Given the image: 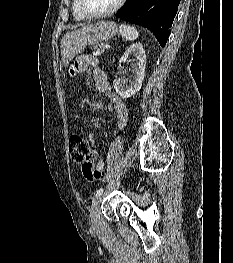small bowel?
Returning a JSON list of instances; mask_svg holds the SVG:
<instances>
[{
  "mask_svg": "<svg viewBox=\"0 0 233 263\" xmlns=\"http://www.w3.org/2000/svg\"><path fill=\"white\" fill-rule=\"evenodd\" d=\"M93 71V77L96 82L97 90L105 96L108 109L117 118V126L120 130L126 127L128 121V110L124 101L113 91L108 78L103 70L98 66V60L89 55L79 56L73 62L70 68L71 75H78L88 70ZM98 160V153L93 150L89 156V162L93 166ZM96 167L104 169V162L99 160Z\"/></svg>",
  "mask_w": 233,
  "mask_h": 263,
  "instance_id": "small-bowel-1",
  "label": "small bowel"
}]
</instances>
